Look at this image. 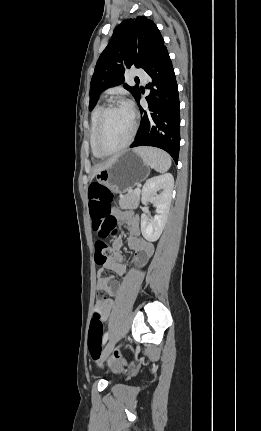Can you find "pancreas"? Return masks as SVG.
<instances>
[{
  "label": "pancreas",
  "instance_id": "cf45deb5",
  "mask_svg": "<svg viewBox=\"0 0 261 431\" xmlns=\"http://www.w3.org/2000/svg\"><path fill=\"white\" fill-rule=\"evenodd\" d=\"M140 193L130 191L127 194L121 195L119 205L122 209H136L139 205Z\"/></svg>",
  "mask_w": 261,
  "mask_h": 431
}]
</instances>
